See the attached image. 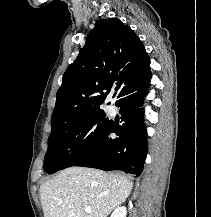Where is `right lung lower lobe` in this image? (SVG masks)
<instances>
[{
  "mask_svg": "<svg viewBox=\"0 0 211 217\" xmlns=\"http://www.w3.org/2000/svg\"><path fill=\"white\" fill-rule=\"evenodd\" d=\"M151 73L136 79L115 103L120 107L122 125L112 120L99 145L73 166L105 171L121 170L139 176L147 154L146 128L143 122L142 100L147 94ZM111 133L118 137L111 138Z\"/></svg>",
  "mask_w": 211,
  "mask_h": 217,
  "instance_id": "obj_1",
  "label": "right lung lower lobe"
}]
</instances>
